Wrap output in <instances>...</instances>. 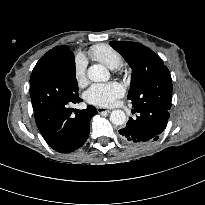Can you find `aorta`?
Here are the masks:
<instances>
[{
    "mask_svg": "<svg viewBox=\"0 0 205 205\" xmlns=\"http://www.w3.org/2000/svg\"><path fill=\"white\" fill-rule=\"evenodd\" d=\"M88 78L93 82H104L109 80V71L101 64H94L88 68ZM110 121L114 125H122L126 121V115L122 110H114L110 114Z\"/></svg>",
    "mask_w": 205,
    "mask_h": 205,
    "instance_id": "762f6f07",
    "label": "aorta"
}]
</instances>
